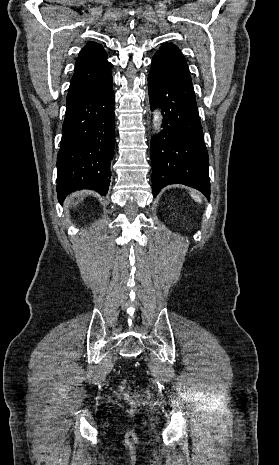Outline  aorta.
<instances>
[{"instance_id": "aorta-1", "label": "aorta", "mask_w": 279, "mask_h": 465, "mask_svg": "<svg viewBox=\"0 0 279 465\" xmlns=\"http://www.w3.org/2000/svg\"><path fill=\"white\" fill-rule=\"evenodd\" d=\"M154 120H155L156 122L159 120V114H158V112H155Z\"/></svg>"}]
</instances>
